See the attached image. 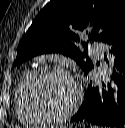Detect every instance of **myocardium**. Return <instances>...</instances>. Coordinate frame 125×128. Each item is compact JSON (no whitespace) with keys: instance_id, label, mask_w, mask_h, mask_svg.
Wrapping results in <instances>:
<instances>
[{"instance_id":"myocardium-1","label":"myocardium","mask_w":125,"mask_h":128,"mask_svg":"<svg viewBox=\"0 0 125 128\" xmlns=\"http://www.w3.org/2000/svg\"><path fill=\"white\" fill-rule=\"evenodd\" d=\"M52 73L61 74L70 78L76 90V96L72 105L60 113H50L41 109L34 101L32 92H31L34 82L39 77H41L44 74H52ZM24 97H25V101L28 109L37 119L43 122L55 123V122H60L66 119L67 117L71 116L78 109L82 99V90L78 82L73 77V75L66 68L62 66H57V65H44V66L35 68L29 73L24 84Z\"/></svg>"}]
</instances>
